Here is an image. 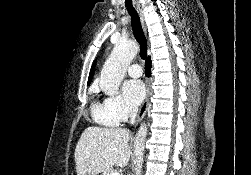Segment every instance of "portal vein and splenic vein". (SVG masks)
I'll list each match as a JSON object with an SVG mask.
<instances>
[{"label":"portal vein and splenic vein","instance_id":"18ae733b","mask_svg":"<svg viewBox=\"0 0 251 175\" xmlns=\"http://www.w3.org/2000/svg\"><path fill=\"white\" fill-rule=\"evenodd\" d=\"M110 175H120L119 171H111Z\"/></svg>","mask_w":251,"mask_h":175}]
</instances>
